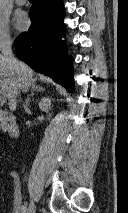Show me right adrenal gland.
I'll return each instance as SVG.
<instances>
[{
    "label": "right adrenal gland",
    "instance_id": "1",
    "mask_svg": "<svg viewBox=\"0 0 128 213\" xmlns=\"http://www.w3.org/2000/svg\"><path fill=\"white\" fill-rule=\"evenodd\" d=\"M42 91H45V88H43V87L37 85L36 83H33V84L31 85L30 94L27 95V98H26V100H25V103L28 104L29 99H30L29 96L34 95L35 92H42Z\"/></svg>",
    "mask_w": 128,
    "mask_h": 213
}]
</instances>
